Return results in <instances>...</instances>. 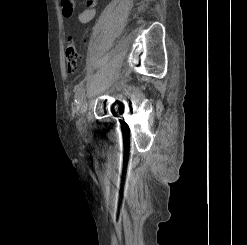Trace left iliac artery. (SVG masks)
I'll return each instance as SVG.
<instances>
[{
  "instance_id": "44dca946",
  "label": "left iliac artery",
  "mask_w": 247,
  "mask_h": 245,
  "mask_svg": "<svg viewBox=\"0 0 247 245\" xmlns=\"http://www.w3.org/2000/svg\"><path fill=\"white\" fill-rule=\"evenodd\" d=\"M85 95V89L83 86H79L76 93H75V103L80 104L82 101L83 97Z\"/></svg>"
}]
</instances>
